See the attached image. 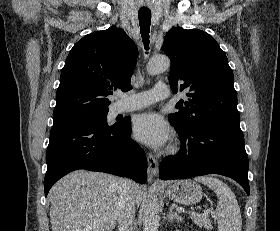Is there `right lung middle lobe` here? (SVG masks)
I'll return each mask as SVG.
<instances>
[{
  "label": "right lung middle lobe",
  "mask_w": 280,
  "mask_h": 231,
  "mask_svg": "<svg viewBox=\"0 0 280 231\" xmlns=\"http://www.w3.org/2000/svg\"><path fill=\"white\" fill-rule=\"evenodd\" d=\"M68 124H86V125H89L92 127H98L101 129H111V128H115V127L121 125V124H115L113 126H109L107 124V113L98 115V116L85 118V119L76 120V121L70 122Z\"/></svg>",
  "instance_id": "right-lung-middle-lobe-1"
}]
</instances>
